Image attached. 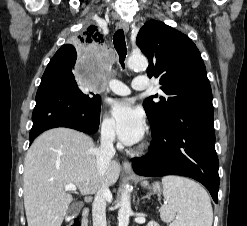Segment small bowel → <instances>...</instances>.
Wrapping results in <instances>:
<instances>
[{"mask_svg": "<svg viewBox=\"0 0 247 226\" xmlns=\"http://www.w3.org/2000/svg\"><path fill=\"white\" fill-rule=\"evenodd\" d=\"M149 226H156L155 224H150Z\"/></svg>", "mask_w": 247, "mask_h": 226, "instance_id": "c3829d8e", "label": "small bowel"}]
</instances>
